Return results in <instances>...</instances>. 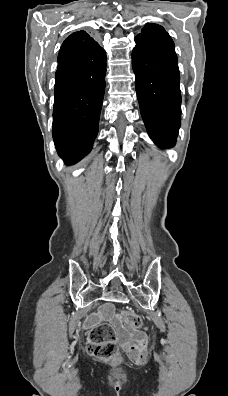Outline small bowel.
Masks as SVG:
<instances>
[{
	"label": "small bowel",
	"instance_id": "c3829d8e",
	"mask_svg": "<svg viewBox=\"0 0 228 396\" xmlns=\"http://www.w3.org/2000/svg\"><path fill=\"white\" fill-rule=\"evenodd\" d=\"M103 317L109 318L121 335L122 345L128 356L137 364H142L147 358V338L141 331H127L118 315L112 313V307L103 310Z\"/></svg>",
	"mask_w": 228,
	"mask_h": 396
}]
</instances>
